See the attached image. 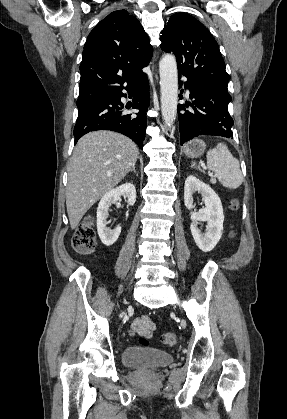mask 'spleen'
I'll use <instances>...</instances> for the list:
<instances>
[{"label": "spleen", "mask_w": 287, "mask_h": 419, "mask_svg": "<svg viewBox=\"0 0 287 419\" xmlns=\"http://www.w3.org/2000/svg\"><path fill=\"white\" fill-rule=\"evenodd\" d=\"M206 157L208 169L224 187L236 189L242 184L243 175L239 161L233 157L224 143H218L214 149L207 152ZM192 167H196L195 162H192Z\"/></svg>", "instance_id": "1"}]
</instances>
